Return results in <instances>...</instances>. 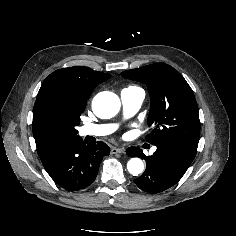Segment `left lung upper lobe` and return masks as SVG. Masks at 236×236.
Listing matches in <instances>:
<instances>
[{"instance_id": "left-lung-upper-lobe-1", "label": "left lung upper lobe", "mask_w": 236, "mask_h": 236, "mask_svg": "<svg viewBox=\"0 0 236 236\" xmlns=\"http://www.w3.org/2000/svg\"><path fill=\"white\" fill-rule=\"evenodd\" d=\"M124 77L146 84L151 100L146 140L153 145L173 143L196 149L200 138L198 106L192 89L165 63L127 70Z\"/></svg>"}]
</instances>
